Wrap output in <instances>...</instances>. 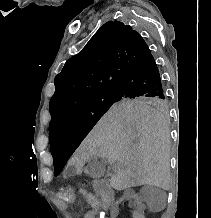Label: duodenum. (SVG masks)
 Returning a JSON list of instances; mask_svg holds the SVG:
<instances>
[{"label":"duodenum","instance_id":"1","mask_svg":"<svg viewBox=\"0 0 211 218\" xmlns=\"http://www.w3.org/2000/svg\"><path fill=\"white\" fill-rule=\"evenodd\" d=\"M95 190L99 193L102 207L108 208L114 200V191L108 181L96 179L93 181Z\"/></svg>","mask_w":211,"mask_h":218}]
</instances>
